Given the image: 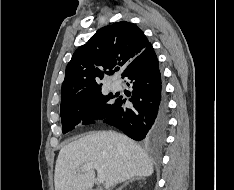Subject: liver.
Masks as SVG:
<instances>
[{
	"instance_id": "liver-1",
	"label": "liver",
	"mask_w": 234,
	"mask_h": 190,
	"mask_svg": "<svg viewBox=\"0 0 234 190\" xmlns=\"http://www.w3.org/2000/svg\"><path fill=\"white\" fill-rule=\"evenodd\" d=\"M88 163L100 165L107 188L153 173L148 154L132 139L114 131H98L62 147L55 166V190H92L94 170L82 171Z\"/></svg>"
}]
</instances>
